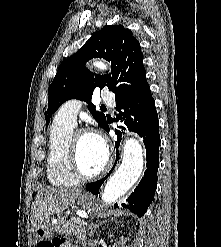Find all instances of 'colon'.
I'll use <instances>...</instances> for the list:
<instances>
[{"label": "colon", "mask_w": 221, "mask_h": 247, "mask_svg": "<svg viewBox=\"0 0 221 247\" xmlns=\"http://www.w3.org/2000/svg\"><path fill=\"white\" fill-rule=\"evenodd\" d=\"M61 240L59 239H54L52 241H43L39 242L37 247H57L58 245L61 244Z\"/></svg>", "instance_id": "colon-1"}]
</instances>
